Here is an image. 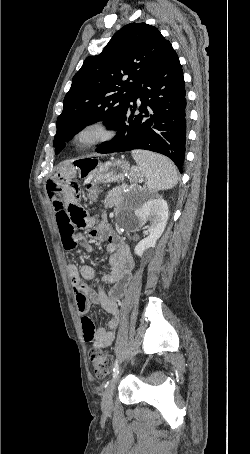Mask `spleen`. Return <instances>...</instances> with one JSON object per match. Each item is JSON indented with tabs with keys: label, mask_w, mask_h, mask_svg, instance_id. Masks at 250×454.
Listing matches in <instances>:
<instances>
[{
	"label": "spleen",
	"mask_w": 250,
	"mask_h": 454,
	"mask_svg": "<svg viewBox=\"0 0 250 454\" xmlns=\"http://www.w3.org/2000/svg\"><path fill=\"white\" fill-rule=\"evenodd\" d=\"M136 161L148 189L156 192L173 188L178 183V173L173 162L167 157L148 151L134 150Z\"/></svg>",
	"instance_id": "obj_1"
}]
</instances>
